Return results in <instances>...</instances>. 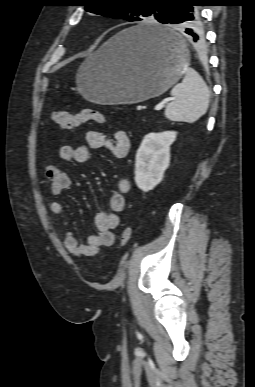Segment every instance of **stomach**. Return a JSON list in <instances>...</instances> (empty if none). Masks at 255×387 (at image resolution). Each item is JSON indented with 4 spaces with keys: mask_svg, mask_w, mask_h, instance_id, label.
<instances>
[{
    "mask_svg": "<svg viewBox=\"0 0 255 387\" xmlns=\"http://www.w3.org/2000/svg\"><path fill=\"white\" fill-rule=\"evenodd\" d=\"M158 29L171 45L141 35ZM189 62L181 36L154 23L127 28L102 45L78 69L76 83L86 99L100 104H133L157 97L180 80Z\"/></svg>",
    "mask_w": 255,
    "mask_h": 387,
    "instance_id": "0dacf381",
    "label": "stomach"
}]
</instances>
